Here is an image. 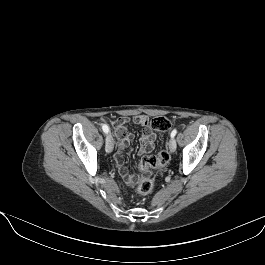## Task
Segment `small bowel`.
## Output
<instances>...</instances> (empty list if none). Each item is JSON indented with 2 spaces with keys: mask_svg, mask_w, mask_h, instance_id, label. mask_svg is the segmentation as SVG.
Listing matches in <instances>:
<instances>
[{
  "mask_svg": "<svg viewBox=\"0 0 265 265\" xmlns=\"http://www.w3.org/2000/svg\"><path fill=\"white\" fill-rule=\"evenodd\" d=\"M146 121H147L146 116L140 115L134 117L133 119L122 117L113 122L114 133L117 139L119 140L118 148L115 154V162L118 167L120 176L127 184H132L134 179L124 164L123 155L126 148L133 140L134 136L132 133H130L127 130L126 125L129 122H133L135 124L144 126V129L139 139L140 142L139 154L143 155L150 152L153 149L154 143L157 138L156 134L147 126V124H145Z\"/></svg>",
  "mask_w": 265,
  "mask_h": 265,
  "instance_id": "c3829d8e",
  "label": "small bowel"
}]
</instances>
